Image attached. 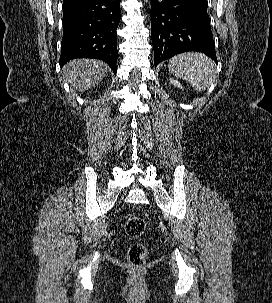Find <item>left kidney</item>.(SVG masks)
<instances>
[{
    "instance_id": "obj_1",
    "label": "left kidney",
    "mask_w": 272,
    "mask_h": 303,
    "mask_svg": "<svg viewBox=\"0 0 272 303\" xmlns=\"http://www.w3.org/2000/svg\"><path fill=\"white\" fill-rule=\"evenodd\" d=\"M170 83L172 85H174L177 88L183 89L182 85L179 83V81L175 80V79H170Z\"/></svg>"
}]
</instances>
